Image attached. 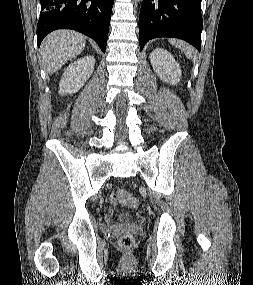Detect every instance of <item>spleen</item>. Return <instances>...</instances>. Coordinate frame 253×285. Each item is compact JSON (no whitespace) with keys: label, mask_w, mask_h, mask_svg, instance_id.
<instances>
[{"label":"spleen","mask_w":253,"mask_h":285,"mask_svg":"<svg viewBox=\"0 0 253 285\" xmlns=\"http://www.w3.org/2000/svg\"><path fill=\"white\" fill-rule=\"evenodd\" d=\"M170 43L172 45H174L175 47L181 49L182 51L185 52L186 57H188L191 60H196V53H195V49L188 45L186 42L184 41H180V40H176V39H171Z\"/></svg>","instance_id":"obj_1"}]
</instances>
